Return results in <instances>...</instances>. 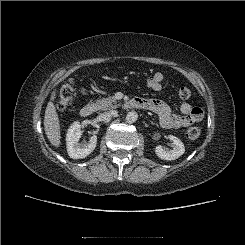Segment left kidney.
<instances>
[{"mask_svg": "<svg viewBox=\"0 0 245 245\" xmlns=\"http://www.w3.org/2000/svg\"><path fill=\"white\" fill-rule=\"evenodd\" d=\"M168 138L173 142L172 143L173 149L172 150H165L162 148L161 145H159L155 148V153L160 159L171 161V160H175V159L179 158L181 155H183L185 152V147L179 138H177L173 135H169Z\"/></svg>", "mask_w": 245, "mask_h": 245, "instance_id": "obj_1", "label": "left kidney"}]
</instances>
